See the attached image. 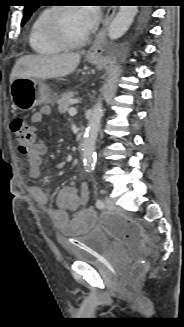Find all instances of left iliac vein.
I'll use <instances>...</instances> for the list:
<instances>
[{
  "instance_id": "left-iliac-vein-1",
  "label": "left iliac vein",
  "mask_w": 184,
  "mask_h": 327,
  "mask_svg": "<svg viewBox=\"0 0 184 327\" xmlns=\"http://www.w3.org/2000/svg\"><path fill=\"white\" fill-rule=\"evenodd\" d=\"M105 205L109 210H114L115 209V203L112 198L110 197H105L104 198Z\"/></svg>"
}]
</instances>
